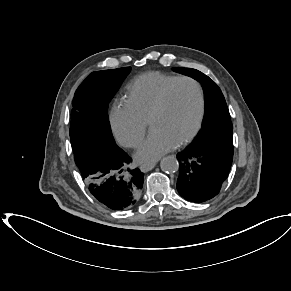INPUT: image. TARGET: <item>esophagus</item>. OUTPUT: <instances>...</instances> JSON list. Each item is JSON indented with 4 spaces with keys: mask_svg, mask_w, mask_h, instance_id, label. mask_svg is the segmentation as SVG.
<instances>
[{
    "mask_svg": "<svg viewBox=\"0 0 291 291\" xmlns=\"http://www.w3.org/2000/svg\"><path fill=\"white\" fill-rule=\"evenodd\" d=\"M158 161H155V162H151V163H148V164H142L140 166V169L141 171H149L151 169H153L155 167V165L157 164Z\"/></svg>",
    "mask_w": 291,
    "mask_h": 291,
    "instance_id": "esophagus-1",
    "label": "esophagus"
}]
</instances>
